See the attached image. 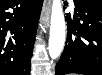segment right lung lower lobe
Returning <instances> with one entry per match:
<instances>
[{"label": "right lung lower lobe", "instance_id": "98d812e1", "mask_svg": "<svg viewBox=\"0 0 102 75\" xmlns=\"http://www.w3.org/2000/svg\"><path fill=\"white\" fill-rule=\"evenodd\" d=\"M42 3L43 0H0V75H30Z\"/></svg>", "mask_w": 102, "mask_h": 75}]
</instances>
